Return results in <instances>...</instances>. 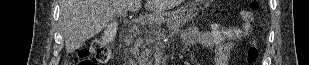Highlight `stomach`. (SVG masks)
<instances>
[{
  "label": "stomach",
  "instance_id": "1",
  "mask_svg": "<svg viewBox=\"0 0 309 65\" xmlns=\"http://www.w3.org/2000/svg\"><path fill=\"white\" fill-rule=\"evenodd\" d=\"M204 0H190L187 1L180 9L177 11L171 12L170 14L168 13H163L160 15H156L154 17V22L155 23H162L166 22L168 25H183L184 23V14L193 11L194 10V5L196 3H204Z\"/></svg>",
  "mask_w": 309,
  "mask_h": 65
}]
</instances>
